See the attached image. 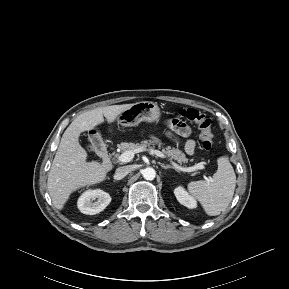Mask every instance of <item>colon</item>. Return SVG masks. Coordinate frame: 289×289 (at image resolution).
I'll list each match as a JSON object with an SVG mask.
<instances>
[{
    "mask_svg": "<svg viewBox=\"0 0 289 289\" xmlns=\"http://www.w3.org/2000/svg\"><path fill=\"white\" fill-rule=\"evenodd\" d=\"M181 116L198 128L203 149L210 150L213 146L212 120L194 108L183 109Z\"/></svg>",
    "mask_w": 289,
    "mask_h": 289,
    "instance_id": "obj_1",
    "label": "colon"
}]
</instances>
